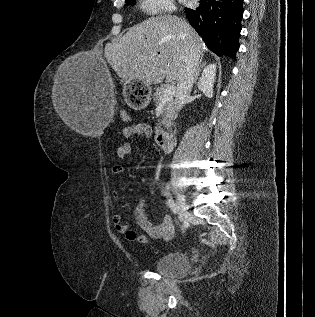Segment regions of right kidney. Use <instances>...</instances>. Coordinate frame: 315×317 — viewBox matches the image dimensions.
<instances>
[{
	"mask_svg": "<svg viewBox=\"0 0 315 317\" xmlns=\"http://www.w3.org/2000/svg\"><path fill=\"white\" fill-rule=\"evenodd\" d=\"M215 76L216 64H209L204 68L202 76L197 84L198 89L202 91L208 98L213 97V84L215 82Z\"/></svg>",
	"mask_w": 315,
	"mask_h": 317,
	"instance_id": "1",
	"label": "right kidney"
}]
</instances>
